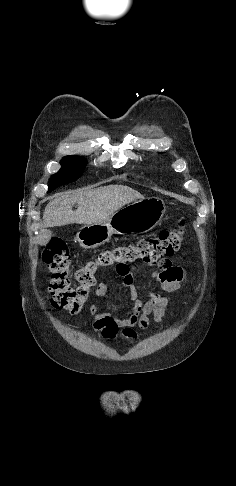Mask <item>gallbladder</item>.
I'll return each mask as SVG.
<instances>
[{"label":"gallbladder","instance_id":"bac80fb5","mask_svg":"<svg viewBox=\"0 0 236 486\" xmlns=\"http://www.w3.org/2000/svg\"><path fill=\"white\" fill-rule=\"evenodd\" d=\"M51 238V231L44 229L41 233L40 243L41 245H46Z\"/></svg>","mask_w":236,"mask_h":486}]
</instances>
